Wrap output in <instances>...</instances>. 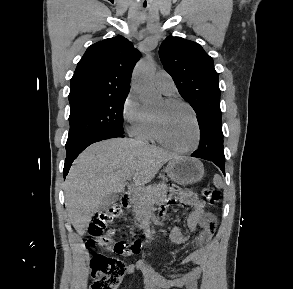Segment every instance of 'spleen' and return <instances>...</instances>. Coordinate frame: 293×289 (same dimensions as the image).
I'll return each instance as SVG.
<instances>
[{
    "instance_id": "3e777b00",
    "label": "spleen",
    "mask_w": 293,
    "mask_h": 289,
    "mask_svg": "<svg viewBox=\"0 0 293 289\" xmlns=\"http://www.w3.org/2000/svg\"><path fill=\"white\" fill-rule=\"evenodd\" d=\"M213 182H214V185H215L217 188L220 189V188L223 187L222 178H221V176H219L218 174L214 175Z\"/></svg>"
}]
</instances>
